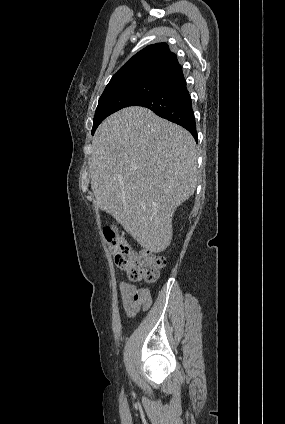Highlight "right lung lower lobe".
Here are the masks:
<instances>
[{
    "label": "right lung lower lobe",
    "mask_w": 285,
    "mask_h": 424,
    "mask_svg": "<svg viewBox=\"0 0 285 424\" xmlns=\"http://www.w3.org/2000/svg\"><path fill=\"white\" fill-rule=\"evenodd\" d=\"M129 106H142L152 110L158 116L187 129L195 141H198L192 101L183 75L135 100Z\"/></svg>",
    "instance_id": "98d812e1"
}]
</instances>
